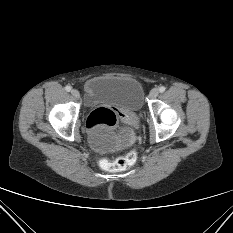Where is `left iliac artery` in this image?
<instances>
[{
    "label": "left iliac artery",
    "instance_id": "1",
    "mask_svg": "<svg viewBox=\"0 0 233 233\" xmlns=\"http://www.w3.org/2000/svg\"><path fill=\"white\" fill-rule=\"evenodd\" d=\"M165 90H166V88H165L164 86H161V87L159 88V91H160L161 93H163Z\"/></svg>",
    "mask_w": 233,
    "mask_h": 233
}]
</instances>
